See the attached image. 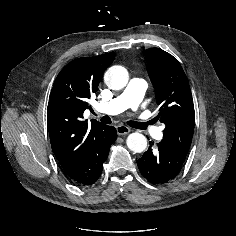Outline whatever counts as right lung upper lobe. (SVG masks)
<instances>
[{"label": "right lung upper lobe", "instance_id": "1", "mask_svg": "<svg viewBox=\"0 0 236 236\" xmlns=\"http://www.w3.org/2000/svg\"><path fill=\"white\" fill-rule=\"evenodd\" d=\"M114 52L71 61L58 74L49 97L47 123L52 150L66 174L82 162L95 135L104 124L81 120L88 99L97 91Z\"/></svg>", "mask_w": 236, "mask_h": 236}]
</instances>
